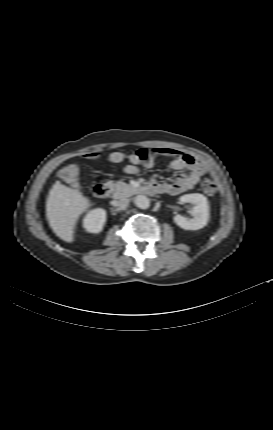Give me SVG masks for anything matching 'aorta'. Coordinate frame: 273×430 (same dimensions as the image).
Listing matches in <instances>:
<instances>
[{
  "instance_id": "obj_1",
  "label": "aorta",
  "mask_w": 273,
  "mask_h": 430,
  "mask_svg": "<svg viewBox=\"0 0 273 430\" xmlns=\"http://www.w3.org/2000/svg\"><path fill=\"white\" fill-rule=\"evenodd\" d=\"M134 203L140 209H147L150 206V199L145 195H137L134 198Z\"/></svg>"
}]
</instances>
